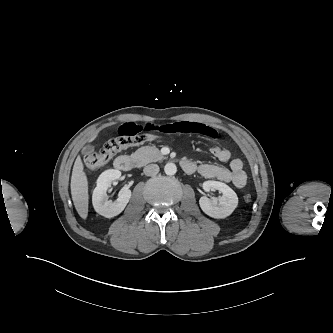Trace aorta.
Masks as SVG:
<instances>
[{"label":"aorta","instance_id":"obj_1","mask_svg":"<svg viewBox=\"0 0 333 333\" xmlns=\"http://www.w3.org/2000/svg\"><path fill=\"white\" fill-rule=\"evenodd\" d=\"M164 172L167 175H175L177 172V167L174 163H167L164 166Z\"/></svg>","mask_w":333,"mask_h":333}]
</instances>
